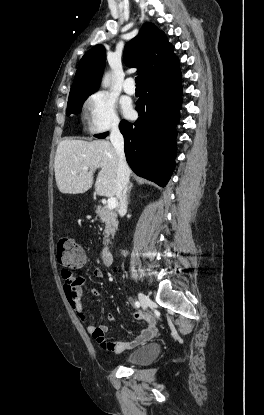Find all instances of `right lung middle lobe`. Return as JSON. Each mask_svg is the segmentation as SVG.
Segmentation results:
<instances>
[{
  "mask_svg": "<svg viewBox=\"0 0 264 415\" xmlns=\"http://www.w3.org/2000/svg\"><path fill=\"white\" fill-rule=\"evenodd\" d=\"M89 95L90 94L69 97L67 115L69 116L71 113L78 114L81 111L84 101Z\"/></svg>",
  "mask_w": 264,
  "mask_h": 415,
  "instance_id": "dd1d6c3e",
  "label": "right lung middle lobe"
}]
</instances>
